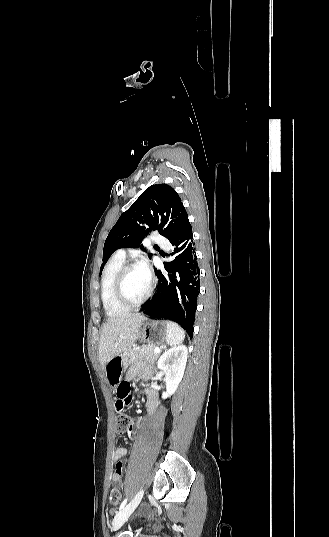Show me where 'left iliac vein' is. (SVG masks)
Instances as JSON below:
<instances>
[{
	"label": "left iliac vein",
	"mask_w": 329,
	"mask_h": 537,
	"mask_svg": "<svg viewBox=\"0 0 329 537\" xmlns=\"http://www.w3.org/2000/svg\"><path fill=\"white\" fill-rule=\"evenodd\" d=\"M143 494L144 489L139 490L133 499L115 515L112 522L113 531H117L128 520L130 515L140 504Z\"/></svg>",
	"instance_id": "obj_1"
}]
</instances>
